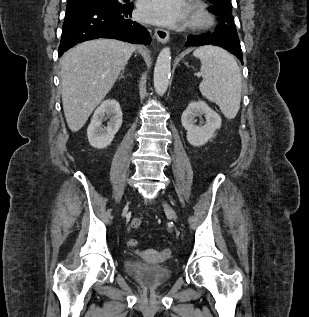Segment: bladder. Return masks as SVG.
Wrapping results in <instances>:
<instances>
[{
  "instance_id": "bladder-1",
  "label": "bladder",
  "mask_w": 309,
  "mask_h": 317,
  "mask_svg": "<svg viewBox=\"0 0 309 317\" xmlns=\"http://www.w3.org/2000/svg\"><path fill=\"white\" fill-rule=\"evenodd\" d=\"M125 269L138 284L150 289L160 286L172 276L169 267L150 264L139 259H128L125 262Z\"/></svg>"
}]
</instances>
